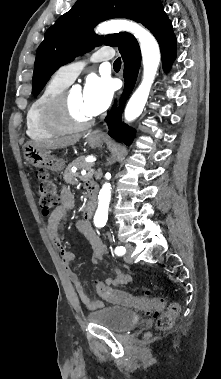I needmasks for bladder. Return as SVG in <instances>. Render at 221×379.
I'll list each match as a JSON object with an SVG mask.
<instances>
[{"mask_svg": "<svg viewBox=\"0 0 221 379\" xmlns=\"http://www.w3.org/2000/svg\"><path fill=\"white\" fill-rule=\"evenodd\" d=\"M86 318L90 323L107 327L117 333H125L131 330L139 321L138 316L133 311L120 306L99 308L89 312Z\"/></svg>", "mask_w": 221, "mask_h": 379, "instance_id": "31cf9c89", "label": "bladder"}]
</instances>
